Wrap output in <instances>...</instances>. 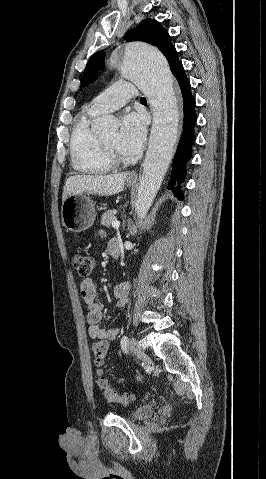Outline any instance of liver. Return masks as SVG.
I'll list each match as a JSON object with an SVG mask.
<instances>
[{
  "label": "liver",
  "mask_w": 266,
  "mask_h": 479,
  "mask_svg": "<svg viewBox=\"0 0 266 479\" xmlns=\"http://www.w3.org/2000/svg\"><path fill=\"white\" fill-rule=\"evenodd\" d=\"M128 173L110 175H74L70 176L64 185L62 201L69 195L82 193L114 195L121 192L125 186Z\"/></svg>",
  "instance_id": "6515ba94"
}]
</instances>
